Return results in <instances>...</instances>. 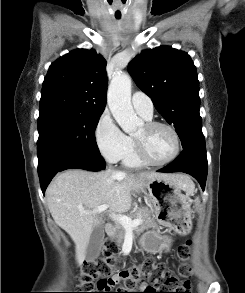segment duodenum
Masks as SVG:
<instances>
[{"label": "duodenum", "instance_id": "duodenum-1", "mask_svg": "<svg viewBox=\"0 0 245 293\" xmlns=\"http://www.w3.org/2000/svg\"><path fill=\"white\" fill-rule=\"evenodd\" d=\"M105 232L109 236L113 235L114 233L113 226L111 224H107L105 227Z\"/></svg>", "mask_w": 245, "mask_h": 293}]
</instances>
